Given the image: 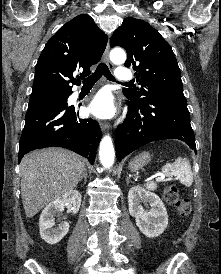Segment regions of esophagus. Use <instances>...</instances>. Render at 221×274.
I'll return each mask as SVG.
<instances>
[{"label":"esophagus","mask_w":221,"mask_h":274,"mask_svg":"<svg viewBox=\"0 0 221 274\" xmlns=\"http://www.w3.org/2000/svg\"><path fill=\"white\" fill-rule=\"evenodd\" d=\"M109 52H110V47H109V44H107L106 49L104 51V60L107 63V65L109 66V68L113 69L114 65L110 61ZM100 128L103 132H105L109 129V124L106 122H100Z\"/></svg>","instance_id":"esophagus-1"}]
</instances>
